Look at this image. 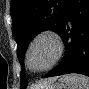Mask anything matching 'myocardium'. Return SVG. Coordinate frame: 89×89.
<instances>
[{"mask_svg": "<svg viewBox=\"0 0 89 89\" xmlns=\"http://www.w3.org/2000/svg\"><path fill=\"white\" fill-rule=\"evenodd\" d=\"M42 38H50L56 43V54H55L54 59L48 66H46L42 69H33L30 65V58H29L30 52H31L33 46L35 45V43ZM64 48H65V45H64L63 38L57 31L50 29V28L41 30L32 38V40L30 41V43L28 45V48L26 51V56H25V61H26V65H27L28 69L34 73H40V72H44V71L52 69L62 58L63 53H64Z\"/></svg>", "mask_w": 89, "mask_h": 89, "instance_id": "1", "label": "myocardium"}]
</instances>
